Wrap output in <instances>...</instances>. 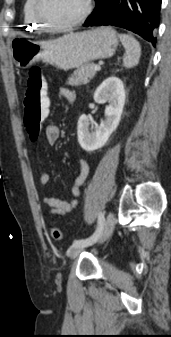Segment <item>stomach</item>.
<instances>
[{"label":"stomach","mask_w":171,"mask_h":337,"mask_svg":"<svg viewBox=\"0 0 171 337\" xmlns=\"http://www.w3.org/2000/svg\"><path fill=\"white\" fill-rule=\"evenodd\" d=\"M118 44L112 28L99 27L49 41L15 38L11 42V50L13 60L20 68L25 69L36 61L44 60L59 69L69 70L113 56Z\"/></svg>","instance_id":"0dacf381"}]
</instances>
